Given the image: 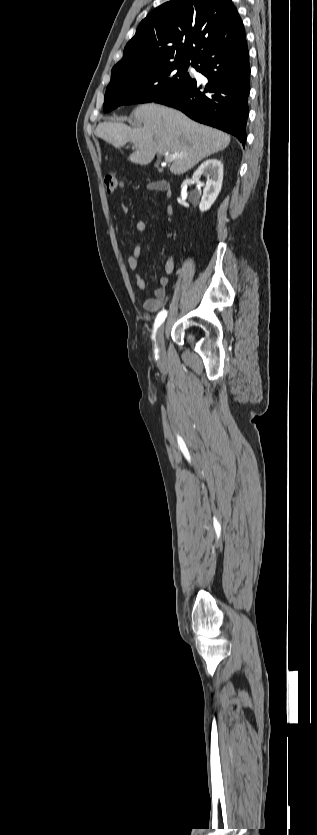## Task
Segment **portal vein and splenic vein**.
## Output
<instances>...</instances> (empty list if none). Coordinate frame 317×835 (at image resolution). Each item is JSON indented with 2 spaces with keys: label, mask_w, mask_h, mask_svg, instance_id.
I'll list each match as a JSON object with an SVG mask.
<instances>
[{
  "label": "portal vein and splenic vein",
  "mask_w": 317,
  "mask_h": 835,
  "mask_svg": "<svg viewBox=\"0 0 317 835\" xmlns=\"http://www.w3.org/2000/svg\"><path fill=\"white\" fill-rule=\"evenodd\" d=\"M179 156H182V155H179ZM175 157H176V155H174V154L166 153L165 154V162H171Z\"/></svg>",
  "instance_id": "18ae733b"
}]
</instances>
